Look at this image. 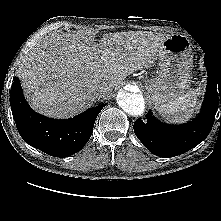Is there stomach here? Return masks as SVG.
I'll return each instance as SVG.
<instances>
[{"mask_svg": "<svg viewBox=\"0 0 221 221\" xmlns=\"http://www.w3.org/2000/svg\"><path fill=\"white\" fill-rule=\"evenodd\" d=\"M157 75L147 81L146 90L156 108L179 102L189 92L191 43L181 34H173L162 43Z\"/></svg>", "mask_w": 221, "mask_h": 221, "instance_id": "obj_1", "label": "stomach"}]
</instances>
